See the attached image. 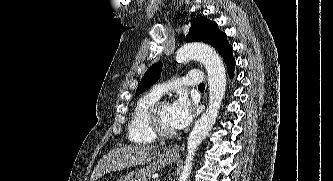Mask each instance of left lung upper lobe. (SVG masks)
<instances>
[{
    "instance_id": "5c2ea615",
    "label": "left lung upper lobe",
    "mask_w": 333,
    "mask_h": 181,
    "mask_svg": "<svg viewBox=\"0 0 333 181\" xmlns=\"http://www.w3.org/2000/svg\"><path fill=\"white\" fill-rule=\"evenodd\" d=\"M195 41L211 44L222 56L232 47L227 42L226 34L219 30L217 24L204 16L191 21V28L186 36V42ZM161 70L162 62L151 66L144 74L135 95L142 93L152 86L161 76Z\"/></svg>"
}]
</instances>
